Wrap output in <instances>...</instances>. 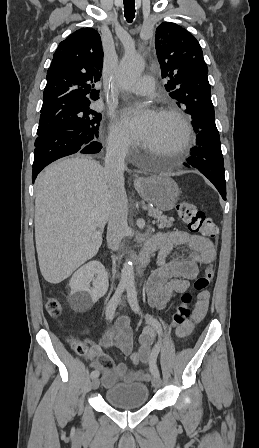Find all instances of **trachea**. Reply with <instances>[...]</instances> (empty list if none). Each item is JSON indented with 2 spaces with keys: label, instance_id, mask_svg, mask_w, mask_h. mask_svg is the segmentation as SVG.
<instances>
[{
  "label": "trachea",
  "instance_id": "trachea-1",
  "mask_svg": "<svg viewBox=\"0 0 259 448\" xmlns=\"http://www.w3.org/2000/svg\"><path fill=\"white\" fill-rule=\"evenodd\" d=\"M124 15L128 22H131L135 16V0H123Z\"/></svg>",
  "mask_w": 259,
  "mask_h": 448
}]
</instances>
